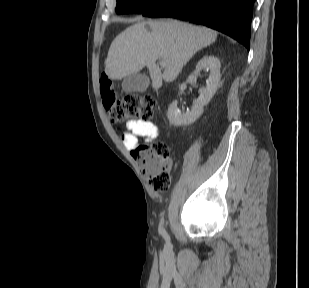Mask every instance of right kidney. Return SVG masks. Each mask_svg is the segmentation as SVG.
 Returning <instances> with one entry per match:
<instances>
[{"label": "right kidney", "mask_w": 309, "mask_h": 288, "mask_svg": "<svg viewBox=\"0 0 309 288\" xmlns=\"http://www.w3.org/2000/svg\"><path fill=\"white\" fill-rule=\"evenodd\" d=\"M220 61L217 57L214 56H204L196 65V70L194 73L189 75L187 81L182 83L179 86V90L181 92L186 88L187 83L195 84L197 80V74L205 69L210 70V76L207 81L206 87H203L199 90V97L194 102L192 109L187 110L185 113H181V111L177 107V101L173 102L167 112V116L169 122L175 126L182 125H190L194 123L203 113V108L206 106L214 94L217 91L219 82H220Z\"/></svg>", "instance_id": "1"}]
</instances>
